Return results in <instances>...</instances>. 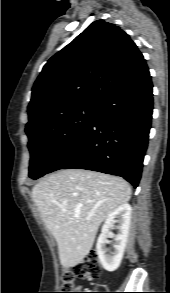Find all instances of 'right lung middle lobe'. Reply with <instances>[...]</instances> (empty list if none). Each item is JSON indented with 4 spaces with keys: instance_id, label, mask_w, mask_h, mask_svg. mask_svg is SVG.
I'll use <instances>...</instances> for the list:
<instances>
[{
    "instance_id": "dd1d6c3e",
    "label": "right lung middle lobe",
    "mask_w": 170,
    "mask_h": 293,
    "mask_svg": "<svg viewBox=\"0 0 170 293\" xmlns=\"http://www.w3.org/2000/svg\"><path fill=\"white\" fill-rule=\"evenodd\" d=\"M98 105H78L45 122L26 129L31 154L29 177L48 173L55 160L74 143L94 121Z\"/></svg>"
}]
</instances>
